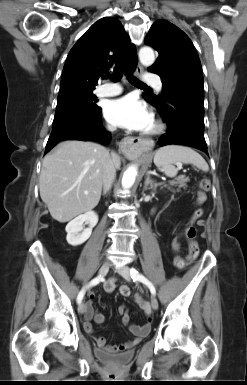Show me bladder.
Wrapping results in <instances>:
<instances>
[{
  "mask_svg": "<svg viewBox=\"0 0 247 385\" xmlns=\"http://www.w3.org/2000/svg\"><path fill=\"white\" fill-rule=\"evenodd\" d=\"M98 353L101 354V353H105V352H103L102 350H98ZM132 355H133L132 352H126L124 354L117 355V357H119L118 361L124 362V361L128 360L129 358H131Z\"/></svg>",
  "mask_w": 247,
  "mask_h": 385,
  "instance_id": "1",
  "label": "bladder"
}]
</instances>
